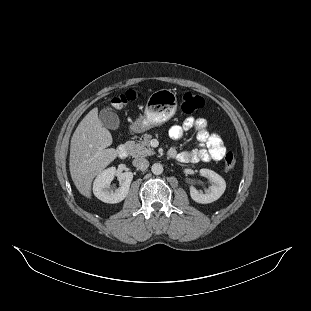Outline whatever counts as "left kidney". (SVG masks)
<instances>
[{"label":"left kidney","instance_id":"left-kidney-1","mask_svg":"<svg viewBox=\"0 0 311 311\" xmlns=\"http://www.w3.org/2000/svg\"><path fill=\"white\" fill-rule=\"evenodd\" d=\"M200 175L210 180L211 186L205 193L199 192L195 187H190L191 198L198 203L207 204L219 199L226 189L225 180L210 169H200Z\"/></svg>","mask_w":311,"mask_h":311}]
</instances>
